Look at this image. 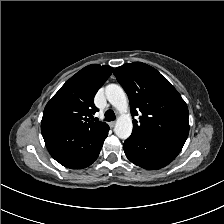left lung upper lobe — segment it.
<instances>
[{
  "instance_id": "5c2ea615",
  "label": "left lung upper lobe",
  "mask_w": 224,
  "mask_h": 224,
  "mask_svg": "<svg viewBox=\"0 0 224 224\" xmlns=\"http://www.w3.org/2000/svg\"><path fill=\"white\" fill-rule=\"evenodd\" d=\"M114 74L128 94L133 132L184 144L189 133V112L177 90L153 67L133 62L117 67Z\"/></svg>"
}]
</instances>
